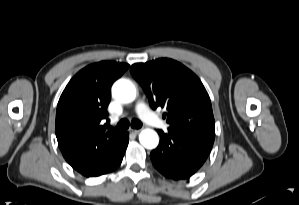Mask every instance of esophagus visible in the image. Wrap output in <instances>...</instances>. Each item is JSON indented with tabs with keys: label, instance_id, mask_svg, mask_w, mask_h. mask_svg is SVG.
<instances>
[{
	"label": "esophagus",
	"instance_id": "34e87169",
	"mask_svg": "<svg viewBox=\"0 0 299 205\" xmlns=\"http://www.w3.org/2000/svg\"><path fill=\"white\" fill-rule=\"evenodd\" d=\"M130 132L133 134H138L140 132V129H130Z\"/></svg>",
	"mask_w": 299,
	"mask_h": 205
}]
</instances>
